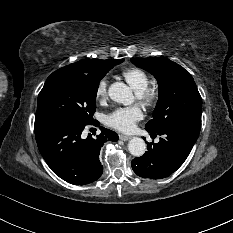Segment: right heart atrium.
<instances>
[{"mask_svg": "<svg viewBox=\"0 0 233 233\" xmlns=\"http://www.w3.org/2000/svg\"><path fill=\"white\" fill-rule=\"evenodd\" d=\"M107 88H108V82L105 78H102L95 90V96L98 100H104L107 97Z\"/></svg>", "mask_w": 233, "mask_h": 233, "instance_id": "obj_1", "label": "right heart atrium"}]
</instances>
